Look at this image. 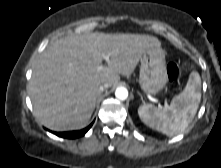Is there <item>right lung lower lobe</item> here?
Here are the masks:
<instances>
[{"instance_id":"1","label":"right lung lower lobe","mask_w":221,"mask_h":168,"mask_svg":"<svg viewBox=\"0 0 221 168\" xmlns=\"http://www.w3.org/2000/svg\"><path fill=\"white\" fill-rule=\"evenodd\" d=\"M92 125H93V123L90 124L87 128L79 130V131L58 132V133L53 132V133L56 134L59 137L74 139V138H78L80 136H84L85 133L91 128Z\"/></svg>"}]
</instances>
